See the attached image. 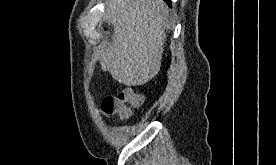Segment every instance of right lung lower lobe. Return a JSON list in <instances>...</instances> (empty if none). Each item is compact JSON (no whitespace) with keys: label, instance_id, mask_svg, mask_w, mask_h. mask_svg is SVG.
Masks as SVG:
<instances>
[{"label":"right lung lower lobe","instance_id":"98d812e1","mask_svg":"<svg viewBox=\"0 0 276 165\" xmlns=\"http://www.w3.org/2000/svg\"><path fill=\"white\" fill-rule=\"evenodd\" d=\"M164 1H166L168 4H170V0H164Z\"/></svg>","mask_w":276,"mask_h":165}]
</instances>
